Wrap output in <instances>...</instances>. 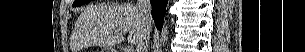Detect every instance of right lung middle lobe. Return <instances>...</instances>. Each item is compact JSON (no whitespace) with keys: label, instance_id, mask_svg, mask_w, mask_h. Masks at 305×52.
<instances>
[{"label":"right lung middle lobe","instance_id":"dd1d6c3e","mask_svg":"<svg viewBox=\"0 0 305 52\" xmlns=\"http://www.w3.org/2000/svg\"><path fill=\"white\" fill-rule=\"evenodd\" d=\"M89 1L91 0H77L73 3V6L76 7V6H80L82 4H85V3H88Z\"/></svg>","mask_w":305,"mask_h":52}]
</instances>
